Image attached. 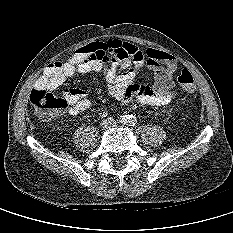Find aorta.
Here are the masks:
<instances>
[{"instance_id": "aorta-1", "label": "aorta", "mask_w": 233, "mask_h": 233, "mask_svg": "<svg viewBox=\"0 0 233 233\" xmlns=\"http://www.w3.org/2000/svg\"><path fill=\"white\" fill-rule=\"evenodd\" d=\"M136 121L137 119L134 115H127L125 118V123L130 126L135 125Z\"/></svg>"}]
</instances>
